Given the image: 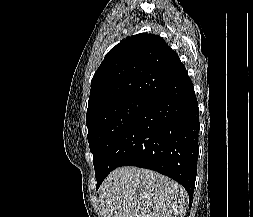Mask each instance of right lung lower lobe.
Here are the masks:
<instances>
[{"label": "right lung lower lobe", "mask_w": 253, "mask_h": 217, "mask_svg": "<svg viewBox=\"0 0 253 217\" xmlns=\"http://www.w3.org/2000/svg\"><path fill=\"white\" fill-rule=\"evenodd\" d=\"M199 109L186 69L149 99L115 143L96 188L115 168L155 170L182 184L192 205L197 172Z\"/></svg>", "instance_id": "98d812e1"}]
</instances>
